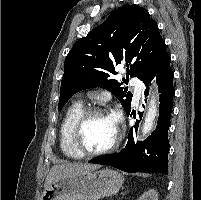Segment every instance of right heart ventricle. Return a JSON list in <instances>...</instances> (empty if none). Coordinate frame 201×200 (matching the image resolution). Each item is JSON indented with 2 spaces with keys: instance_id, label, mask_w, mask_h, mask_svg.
<instances>
[{
  "instance_id": "obj_1",
  "label": "right heart ventricle",
  "mask_w": 201,
  "mask_h": 200,
  "mask_svg": "<svg viewBox=\"0 0 201 200\" xmlns=\"http://www.w3.org/2000/svg\"><path fill=\"white\" fill-rule=\"evenodd\" d=\"M84 110L81 102H74L66 111L60 126L59 143L62 153L71 159H81V156L71 143V130L79 115Z\"/></svg>"
}]
</instances>
